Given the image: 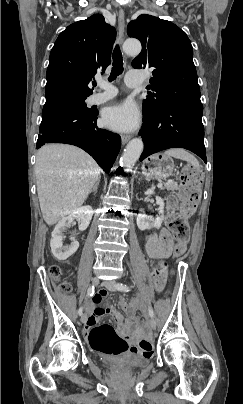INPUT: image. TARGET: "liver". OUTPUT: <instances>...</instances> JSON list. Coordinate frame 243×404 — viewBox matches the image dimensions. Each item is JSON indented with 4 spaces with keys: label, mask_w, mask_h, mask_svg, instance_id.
Instances as JSON below:
<instances>
[{
    "label": "liver",
    "mask_w": 243,
    "mask_h": 404,
    "mask_svg": "<svg viewBox=\"0 0 243 404\" xmlns=\"http://www.w3.org/2000/svg\"><path fill=\"white\" fill-rule=\"evenodd\" d=\"M100 168L86 152L68 144H46L37 152L35 176L42 216L53 226L81 208L100 178Z\"/></svg>",
    "instance_id": "liver-1"
}]
</instances>
